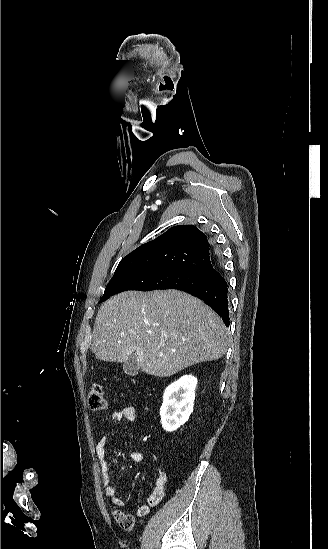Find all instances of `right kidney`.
<instances>
[{"instance_id":"right-kidney-1","label":"right kidney","mask_w":328,"mask_h":549,"mask_svg":"<svg viewBox=\"0 0 328 549\" xmlns=\"http://www.w3.org/2000/svg\"><path fill=\"white\" fill-rule=\"evenodd\" d=\"M196 385V377L184 375L166 387L160 409L164 431L172 433L188 421L193 411Z\"/></svg>"}]
</instances>
